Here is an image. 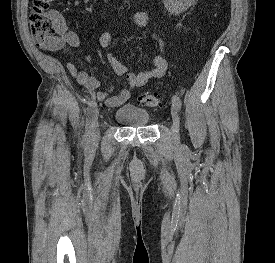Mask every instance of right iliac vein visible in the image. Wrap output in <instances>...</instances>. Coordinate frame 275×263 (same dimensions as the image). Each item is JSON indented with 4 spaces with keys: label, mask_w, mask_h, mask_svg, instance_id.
I'll list each match as a JSON object with an SVG mask.
<instances>
[{
    "label": "right iliac vein",
    "mask_w": 275,
    "mask_h": 263,
    "mask_svg": "<svg viewBox=\"0 0 275 263\" xmlns=\"http://www.w3.org/2000/svg\"><path fill=\"white\" fill-rule=\"evenodd\" d=\"M99 138H100V128L98 123V111L96 110L92 120L91 142L97 143Z\"/></svg>",
    "instance_id": "obj_1"
}]
</instances>
